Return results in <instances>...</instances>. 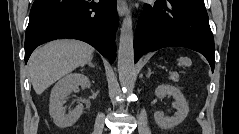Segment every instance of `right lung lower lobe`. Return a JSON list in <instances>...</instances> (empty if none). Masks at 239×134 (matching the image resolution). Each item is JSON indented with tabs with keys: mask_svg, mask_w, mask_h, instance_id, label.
<instances>
[{
	"mask_svg": "<svg viewBox=\"0 0 239 134\" xmlns=\"http://www.w3.org/2000/svg\"><path fill=\"white\" fill-rule=\"evenodd\" d=\"M117 26L116 0H35L25 35V62L37 46L72 38L89 43L112 63Z\"/></svg>",
	"mask_w": 239,
	"mask_h": 134,
	"instance_id": "obj_1",
	"label": "right lung lower lobe"
}]
</instances>
